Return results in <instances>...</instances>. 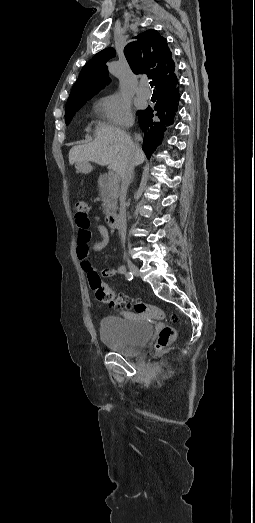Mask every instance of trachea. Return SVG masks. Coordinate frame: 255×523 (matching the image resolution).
I'll return each instance as SVG.
<instances>
[{"label": "trachea", "mask_w": 255, "mask_h": 523, "mask_svg": "<svg viewBox=\"0 0 255 523\" xmlns=\"http://www.w3.org/2000/svg\"><path fill=\"white\" fill-rule=\"evenodd\" d=\"M150 86L153 88L154 87V82H150Z\"/></svg>", "instance_id": "trachea-1"}]
</instances>
